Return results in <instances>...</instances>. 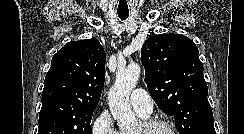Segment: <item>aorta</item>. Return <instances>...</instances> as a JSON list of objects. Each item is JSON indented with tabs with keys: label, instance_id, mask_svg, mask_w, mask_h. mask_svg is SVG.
I'll use <instances>...</instances> for the list:
<instances>
[{
	"label": "aorta",
	"instance_id": "1",
	"mask_svg": "<svg viewBox=\"0 0 244 134\" xmlns=\"http://www.w3.org/2000/svg\"><path fill=\"white\" fill-rule=\"evenodd\" d=\"M141 68L131 63L126 69L118 70L116 81L108 94L109 107L113 118L121 128H129L137 123V116L132 111L129 97L140 77Z\"/></svg>",
	"mask_w": 244,
	"mask_h": 134
}]
</instances>
